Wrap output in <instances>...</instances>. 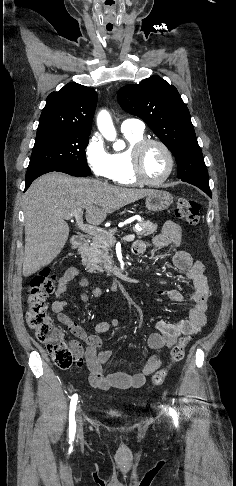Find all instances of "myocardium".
Returning a JSON list of instances; mask_svg holds the SVG:
<instances>
[{"label":"myocardium","instance_id":"f54148a6","mask_svg":"<svg viewBox=\"0 0 236 486\" xmlns=\"http://www.w3.org/2000/svg\"><path fill=\"white\" fill-rule=\"evenodd\" d=\"M153 144L161 147L168 159V169L166 173L157 180L148 179L145 176L142 167L143 153L148 146ZM131 166L133 175L139 183L149 186H158L166 182L172 175L175 167V159L171 149L163 141L153 138H144L137 142L131 149Z\"/></svg>","mask_w":236,"mask_h":486}]
</instances>
